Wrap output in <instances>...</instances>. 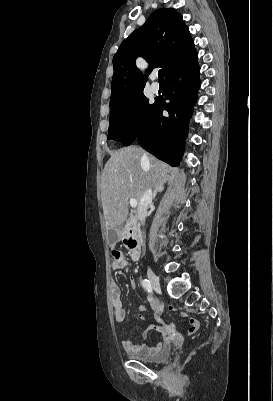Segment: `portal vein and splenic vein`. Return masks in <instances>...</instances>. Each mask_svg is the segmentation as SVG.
<instances>
[{
    "instance_id": "1",
    "label": "portal vein and splenic vein",
    "mask_w": 273,
    "mask_h": 401,
    "mask_svg": "<svg viewBox=\"0 0 273 401\" xmlns=\"http://www.w3.org/2000/svg\"><path fill=\"white\" fill-rule=\"evenodd\" d=\"M130 207H137L136 198H130Z\"/></svg>"
}]
</instances>
